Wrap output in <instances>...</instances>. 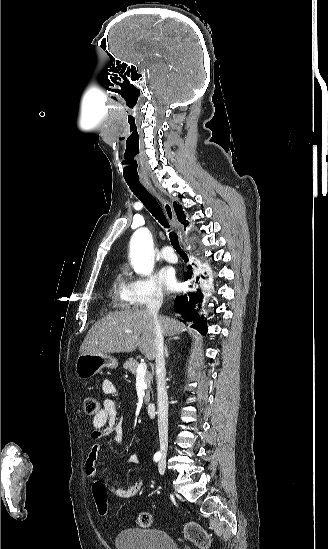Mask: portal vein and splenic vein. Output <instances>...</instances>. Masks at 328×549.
Returning <instances> with one entry per match:
<instances>
[{
    "label": "portal vein and splenic vein",
    "mask_w": 328,
    "mask_h": 549,
    "mask_svg": "<svg viewBox=\"0 0 328 549\" xmlns=\"http://www.w3.org/2000/svg\"><path fill=\"white\" fill-rule=\"evenodd\" d=\"M145 371H147L146 363H140V365H138V367H137L138 375H140V373H145Z\"/></svg>",
    "instance_id": "18ae733b"
}]
</instances>
